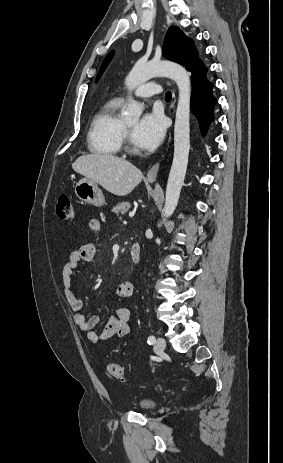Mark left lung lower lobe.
<instances>
[{
  "instance_id": "obj_1",
  "label": "left lung lower lobe",
  "mask_w": 283,
  "mask_h": 463,
  "mask_svg": "<svg viewBox=\"0 0 283 463\" xmlns=\"http://www.w3.org/2000/svg\"><path fill=\"white\" fill-rule=\"evenodd\" d=\"M187 70L192 73L191 109L195 112L201 132L204 134L214 120L213 108L217 101L212 95L213 85L207 81L205 77L207 68L201 61L195 62Z\"/></svg>"
}]
</instances>
